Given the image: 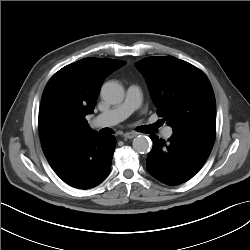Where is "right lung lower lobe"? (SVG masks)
Returning a JSON list of instances; mask_svg holds the SVG:
<instances>
[{"mask_svg": "<svg viewBox=\"0 0 250 250\" xmlns=\"http://www.w3.org/2000/svg\"><path fill=\"white\" fill-rule=\"evenodd\" d=\"M115 145L114 136L95 132L61 146L46 158L64 182L75 188L89 189L109 174Z\"/></svg>", "mask_w": 250, "mask_h": 250, "instance_id": "right-lung-lower-lobe-1", "label": "right lung lower lobe"}]
</instances>
